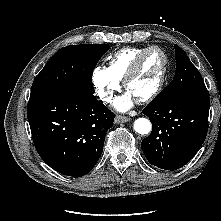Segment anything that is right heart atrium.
<instances>
[{
  "label": "right heart atrium",
  "instance_id": "d8ad5b80",
  "mask_svg": "<svg viewBox=\"0 0 221 221\" xmlns=\"http://www.w3.org/2000/svg\"><path fill=\"white\" fill-rule=\"evenodd\" d=\"M91 81L96 95L104 103H110L114 92L120 88V80L107 67L97 66L92 72Z\"/></svg>",
  "mask_w": 221,
  "mask_h": 221
}]
</instances>
